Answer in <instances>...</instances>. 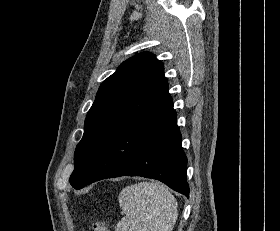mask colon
Returning <instances> with one entry per match:
<instances>
[{
    "mask_svg": "<svg viewBox=\"0 0 280 231\" xmlns=\"http://www.w3.org/2000/svg\"><path fill=\"white\" fill-rule=\"evenodd\" d=\"M93 231H108L107 224L104 221H95L92 225Z\"/></svg>",
    "mask_w": 280,
    "mask_h": 231,
    "instance_id": "5ec220e1",
    "label": "colon"
}]
</instances>
